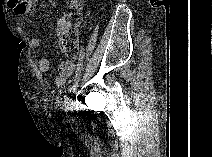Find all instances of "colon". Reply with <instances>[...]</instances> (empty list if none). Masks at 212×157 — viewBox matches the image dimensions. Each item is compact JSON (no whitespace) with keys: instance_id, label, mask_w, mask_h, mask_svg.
Masks as SVG:
<instances>
[{"instance_id":"1","label":"colon","mask_w":212,"mask_h":157,"mask_svg":"<svg viewBox=\"0 0 212 157\" xmlns=\"http://www.w3.org/2000/svg\"><path fill=\"white\" fill-rule=\"evenodd\" d=\"M67 28L58 35V45L66 57L73 59L78 56V29L83 15L80 9L70 10L65 14Z\"/></svg>"}]
</instances>
